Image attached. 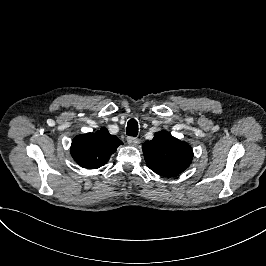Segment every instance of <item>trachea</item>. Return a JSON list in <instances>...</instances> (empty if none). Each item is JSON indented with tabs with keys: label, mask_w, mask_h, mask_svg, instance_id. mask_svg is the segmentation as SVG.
<instances>
[{
	"label": "trachea",
	"mask_w": 266,
	"mask_h": 266,
	"mask_svg": "<svg viewBox=\"0 0 266 266\" xmlns=\"http://www.w3.org/2000/svg\"><path fill=\"white\" fill-rule=\"evenodd\" d=\"M127 135L129 136H137L138 134V123L135 119H130L127 123Z\"/></svg>",
	"instance_id": "1"
}]
</instances>
